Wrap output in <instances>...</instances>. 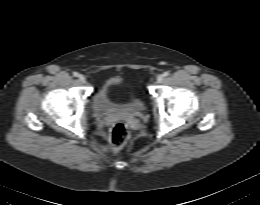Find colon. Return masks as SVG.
I'll use <instances>...</instances> for the list:
<instances>
[{
	"mask_svg": "<svg viewBox=\"0 0 260 205\" xmlns=\"http://www.w3.org/2000/svg\"><path fill=\"white\" fill-rule=\"evenodd\" d=\"M129 131L127 126L122 122L113 124L107 133V142L111 149L119 150L127 142Z\"/></svg>",
	"mask_w": 260,
	"mask_h": 205,
	"instance_id": "colon-1",
	"label": "colon"
}]
</instances>
